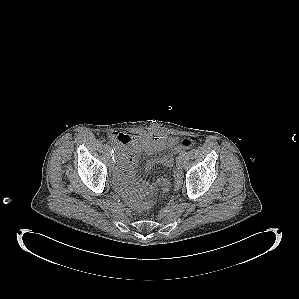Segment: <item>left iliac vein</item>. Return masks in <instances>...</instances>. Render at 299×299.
Here are the masks:
<instances>
[{"instance_id":"left-iliac-vein-1","label":"left iliac vein","mask_w":299,"mask_h":299,"mask_svg":"<svg viewBox=\"0 0 299 299\" xmlns=\"http://www.w3.org/2000/svg\"><path fill=\"white\" fill-rule=\"evenodd\" d=\"M184 164V159L181 156H178L177 160H176V165L178 167H182Z\"/></svg>"}]
</instances>
